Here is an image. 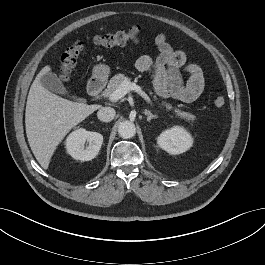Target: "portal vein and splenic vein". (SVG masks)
<instances>
[{
  "label": "portal vein and splenic vein",
  "instance_id": "obj_1",
  "mask_svg": "<svg viewBox=\"0 0 265 265\" xmlns=\"http://www.w3.org/2000/svg\"><path fill=\"white\" fill-rule=\"evenodd\" d=\"M130 91L137 92L140 96H142L148 103H151V99L149 96L141 89L140 86L135 83L130 82V80H124L122 84L109 96V100L112 102H116L122 97H124Z\"/></svg>",
  "mask_w": 265,
  "mask_h": 265
}]
</instances>
